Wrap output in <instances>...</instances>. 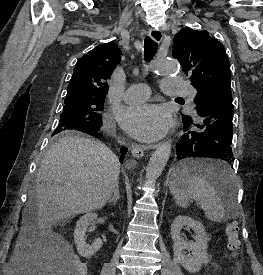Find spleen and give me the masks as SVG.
I'll use <instances>...</instances> for the list:
<instances>
[{
  "label": "spleen",
  "mask_w": 263,
  "mask_h": 275,
  "mask_svg": "<svg viewBox=\"0 0 263 275\" xmlns=\"http://www.w3.org/2000/svg\"><path fill=\"white\" fill-rule=\"evenodd\" d=\"M180 169V173L176 171ZM200 169H221L223 175L219 178L224 190L225 201L208 179L199 175ZM236 178L224 163L206 160H191L179 165L173 174L170 192L180 207H188L189 200L194 199L205 211L207 219L213 222H222L228 219L235 207Z\"/></svg>",
  "instance_id": "spleen-1"
}]
</instances>
